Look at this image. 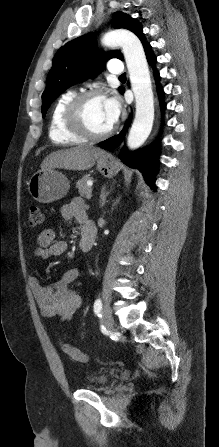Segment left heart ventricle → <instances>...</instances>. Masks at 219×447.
<instances>
[{
    "label": "left heart ventricle",
    "mask_w": 219,
    "mask_h": 447,
    "mask_svg": "<svg viewBox=\"0 0 219 447\" xmlns=\"http://www.w3.org/2000/svg\"><path fill=\"white\" fill-rule=\"evenodd\" d=\"M84 117L87 125L95 132H103L112 127L104 99L90 101L85 108Z\"/></svg>",
    "instance_id": "b2bd125f"
}]
</instances>
